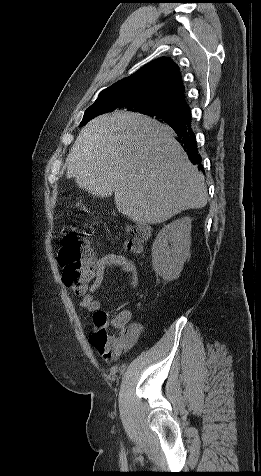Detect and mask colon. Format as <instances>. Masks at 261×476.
<instances>
[{
  "label": "colon",
  "mask_w": 261,
  "mask_h": 476,
  "mask_svg": "<svg viewBox=\"0 0 261 476\" xmlns=\"http://www.w3.org/2000/svg\"><path fill=\"white\" fill-rule=\"evenodd\" d=\"M132 235L133 238L126 244L127 249L139 253L148 231L136 228L132 230ZM58 258L63 267L62 279L66 287L75 292L84 289L91 280L93 257L83 245L81 232L72 231L63 237ZM93 320L90 342L100 354L110 355L123 343L124 334L108 324L107 315L103 311L95 313Z\"/></svg>",
  "instance_id": "colon-1"
}]
</instances>
